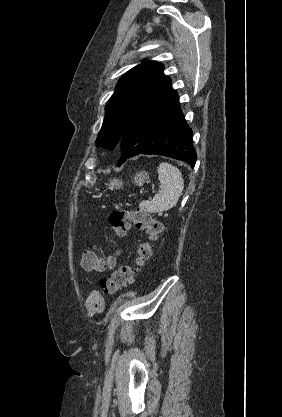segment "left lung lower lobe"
<instances>
[{"label":"left lung lower lobe","mask_w":282,"mask_h":417,"mask_svg":"<svg viewBox=\"0 0 282 417\" xmlns=\"http://www.w3.org/2000/svg\"><path fill=\"white\" fill-rule=\"evenodd\" d=\"M121 158L138 154H155L187 162L193 168L196 151L192 145V130L180 110L177 93L171 80L161 84L129 116L119 142Z\"/></svg>","instance_id":"1"}]
</instances>
